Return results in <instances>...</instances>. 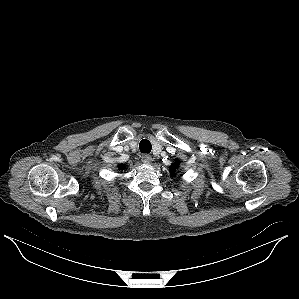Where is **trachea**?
I'll use <instances>...</instances> for the list:
<instances>
[{"instance_id":"3493384b","label":"trachea","mask_w":299,"mask_h":299,"mask_svg":"<svg viewBox=\"0 0 299 299\" xmlns=\"http://www.w3.org/2000/svg\"><path fill=\"white\" fill-rule=\"evenodd\" d=\"M139 148L142 153H150L152 149V145L149 140L143 139L139 144Z\"/></svg>"}]
</instances>
